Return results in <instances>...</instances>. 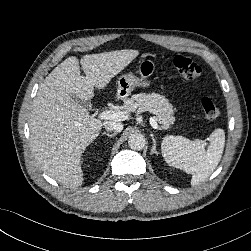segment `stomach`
<instances>
[{
    "label": "stomach",
    "instance_id": "stomach-1",
    "mask_svg": "<svg viewBox=\"0 0 251 251\" xmlns=\"http://www.w3.org/2000/svg\"><path fill=\"white\" fill-rule=\"evenodd\" d=\"M155 70V63L150 59H143L139 62L138 72L141 78L132 74L122 75L117 81V96L127 98L136 87H148L150 82L145 78L150 76Z\"/></svg>",
    "mask_w": 251,
    "mask_h": 251
}]
</instances>
